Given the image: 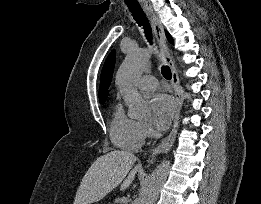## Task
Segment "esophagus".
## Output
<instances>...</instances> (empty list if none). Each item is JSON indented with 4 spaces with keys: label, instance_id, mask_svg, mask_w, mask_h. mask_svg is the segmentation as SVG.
I'll use <instances>...</instances> for the list:
<instances>
[{
    "label": "esophagus",
    "instance_id": "1",
    "mask_svg": "<svg viewBox=\"0 0 261 204\" xmlns=\"http://www.w3.org/2000/svg\"><path fill=\"white\" fill-rule=\"evenodd\" d=\"M142 8L152 23L155 36L162 49V60L164 63H166L169 66V68L171 70L172 86H173L174 96H175L176 104H177L176 116H175L173 128H172L170 134L162 141L161 144H159L153 150L152 156L148 161L149 163H153V161L155 160L157 155L162 154V153H167L173 146V143L175 141V137H176V134L178 131V126H179L182 98H181V94H180V90H179L178 72H177V69L172 60V57L170 56L162 24H161L160 20L158 19V17L153 12V10L149 6L143 5Z\"/></svg>",
    "mask_w": 261,
    "mask_h": 204
}]
</instances>
